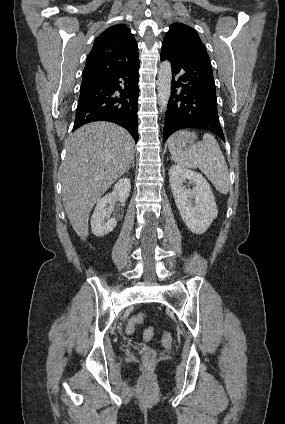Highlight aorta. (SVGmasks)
<instances>
[{
    "label": "aorta",
    "instance_id": "obj_1",
    "mask_svg": "<svg viewBox=\"0 0 285 424\" xmlns=\"http://www.w3.org/2000/svg\"><path fill=\"white\" fill-rule=\"evenodd\" d=\"M172 69L169 61H163L160 64L158 77V99L160 111L167 109L168 101L171 95Z\"/></svg>",
    "mask_w": 285,
    "mask_h": 424
}]
</instances>
